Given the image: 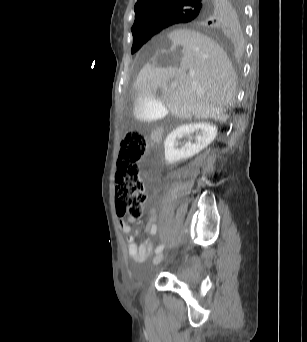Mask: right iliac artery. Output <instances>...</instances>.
<instances>
[{"mask_svg":"<svg viewBox=\"0 0 307 342\" xmlns=\"http://www.w3.org/2000/svg\"><path fill=\"white\" fill-rule=\"evenodd\" d=\"M163 248H164V245L158 246V247L156 248V250H155V253L161 252V251L163 250Z\"/></svg>","mask_w":307,"mask_h":342,"instance_id":"right-iliac-artery-1","label":"right iliac artery"}]
</instances>
